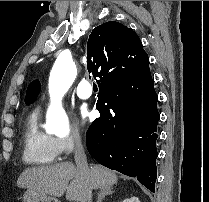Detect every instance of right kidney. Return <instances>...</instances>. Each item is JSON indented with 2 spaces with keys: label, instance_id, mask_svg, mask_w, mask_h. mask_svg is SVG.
Here are the masks:
<instances>
[{
  "label": "right kidney",
  "instance_id": "1",
  "mask_svg": "<svg viewBox=\"0 0 209 202\" xmlns=\"http://www.w3.org/2000/svg\"><path fill=\"white\" fill-rule=\"evenodd\" d=\"M122 202H140L138 197H131L123 200Z\"/></svg>",
  "mask_w": 209,
  "mask_h": 202
}]
</instances>
